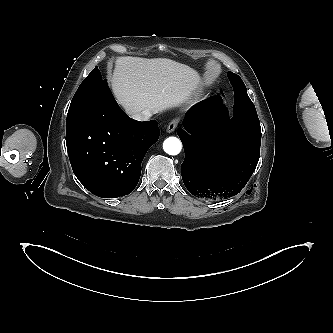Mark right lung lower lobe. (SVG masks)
Wrapping results in <instances>:
<instances>
[{
	"instance_id": "98d812e1",
	"label": "right lung lower lobe",
	"mask_w": 333,
	"mask_h": 333,
	"mask_svg": "<svg viewBox=\"0 0 333 333\" xmlns=\"http://www.w3.org/2000/svg\"><path fill=\"white\" fill-rule=\"evenodd\" d=\"M157 125L155 120L140 122L127 116L106 85L84 112L67 122L66 145L74 174L96 196L131 193L146 152L158 140Z\"/></svg>"
}]
</instances>
